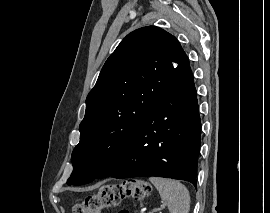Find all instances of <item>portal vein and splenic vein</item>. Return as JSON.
Listing matches in <instances>:
<instances>
[{
    "label": "portal vein and splenic vein",
    "mask_w": 270,
    "mask_h": 213,
    "mask_svg": "<svg viewBox=\"0 0 270 213\" xmlns=\"http://www.w3.org/2000/svg\"><path fill=\"white\" fill-rule=\"evenodd\" d=\"M161 208H164V205H163V206H161ZM149 213H153V211H151V212H149Z\"/></svg>",
    "instance_id": "portal-vein-and-splenic-vein-1"
}]
</instances>
